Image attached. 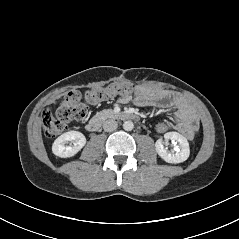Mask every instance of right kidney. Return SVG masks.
Listing matches in <instances>:
<instances>
[{"instance_id": "obj_1", "label": "right kidney", "mask_w": 239, "mask_h": 239, "mask_svg": "<svg viewBox=\"0 0 239 239\" xmlns=\"http://www.w3.org/2000/svg\"><path fill=\"white\" fill-rule=\"evenodd\" d=\"M70 142L67 146L66 143ZM86 144L85 136L79 131H69L59 136L52 145V152L58 157L68 158L77 154Z\"/></svg>"}]
</instances>
